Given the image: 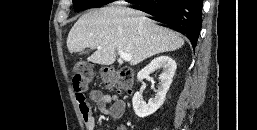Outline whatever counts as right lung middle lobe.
Wrapping results in <instances>:
<instances>
[{
  "instance_id": "right-lung-middle-lobe-1",
  "label": "right lung middle lobe",
  "mask_w": 257,
  "mask_h": 130,
  "mask_svg": "<svg viewBox=\"0 0 257 130\" xmlns=\"http://www.w3.org/2000/svg\"><path fill=\"white\" fill-rule=\"evenodd\" d=\"M108 3V0H73L75 11L79 12L92 7H100Z\"/></svg>"
}]
</instances>
